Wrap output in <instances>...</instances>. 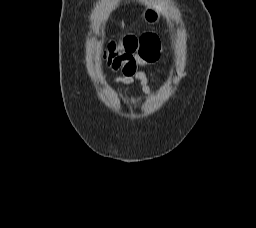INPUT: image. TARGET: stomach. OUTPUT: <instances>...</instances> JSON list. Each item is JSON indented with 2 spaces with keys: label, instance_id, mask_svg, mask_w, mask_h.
<instances>
[{
  "label": "stomach",
  "instance_id": "obj_1",
  "mask_svg": "<svg viewBox=\"0 0 256 228\" xmlns=\"http://www.w3.org/2000/svg\"><path fill=\"white\" fill-rule=\"evenodd\" d=\"M143 19L148 24H155L158 22L159 16L155 9H146L143 12Z\"/></svg>",
  "mask_w": 256,
  "mask_h": 228
}]
</instances>
